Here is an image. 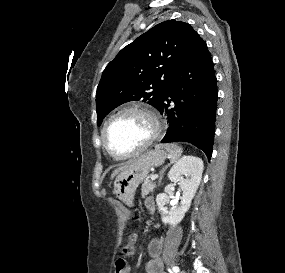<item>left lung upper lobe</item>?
Returning <instances> with one entry per match:
<instances>
[{
  "mask_svg": "<svg viewBox=\"0 0 285 273\" xmlns=\"http://www.w3.org/2000/svg\"><path fill=\"white\" fill-rule=\"evenodd\" d=\"M195 30L164 21L123 48L104 70L96 93L97 124L119 105L142 100L158 109Z\"/></svg>",
  "mask_w": 285,
  "mask_h": 273,
  "instance_id": "5c2ea615",
  "label": "left lung upper lobe"
}]
</instances>
